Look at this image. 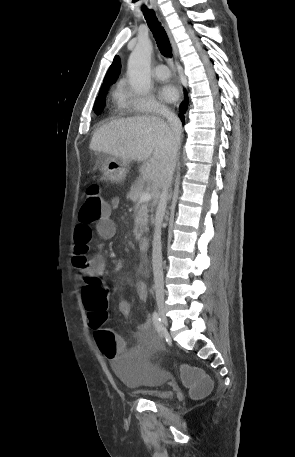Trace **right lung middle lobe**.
Returning <instances> with one entry per match:
<instances>
[{"label":"right lung middle lobe","mask_w":295,"mask_h":457,"mask_svg":"<svg viewBox=\"0 0 295 457\" xmlns=\"http://www.w3.org/2000/svg\"><path fill=\"white\" fill-rule=\"evenodd\" d=\"M108 87H103L100 90L99 96L96 99L94 104V111L96 114H101L104 106H105V95L107 93Z\"/></svg>","instance_id":"right-lung-middle-lobe-1"}]
</instances>
